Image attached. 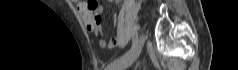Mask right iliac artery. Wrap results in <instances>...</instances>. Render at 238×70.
Here are the masks:
<instances>
[{
	"mask_svg": "<svg viewBox=\"0 0 238 70\" xmlns=\"http://www.w3.org/2000/svg\"><path fill=\"white\" fill-rule=\"evenodd\" d=\"M138 42V38L136 37L133 41L132 47L130 48L129 51H127L124 55H122L121 57L113 60L106 68V70H112L119 62H121L122 60H124L125 58H127L135 49L136 45Z\"/></svg>",
	"mask_w": 238,
	"mask_h": 70,
	"instance_id": "obj_1",
	"label": "right iliac artery"
}]
</instances>
